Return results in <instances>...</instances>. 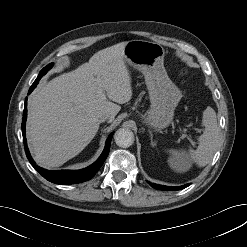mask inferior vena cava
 <instances>
[{
	"label": "inferior vena cava",
	"mask_w": 247,
	"mask_h": 247,
	"mask_svg": "<svg viewBox=\"0 0 247 247\" xmlns=\"http://www.w3.org/2000/svg\"><path fill=\"white\" fill-rule=\"evenodd\" d=\"M111 116L109 114H102L99 116V121L100 122H105L110 120Z\"/></svg>",
	"instance_id": "inferior-vena-cava-1"
}]
</instances>
